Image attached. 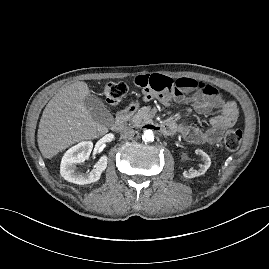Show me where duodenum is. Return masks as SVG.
I'll return each mask as SVG.
<instances>
[{
	"label": "duodenum",
	"mask_w": 269,
	"mask_h": 269,
	"mask_svg": "<svg viewBox=\"0 0 269 269\" xmlns=\"http://www.w3.org/2000/svg\"><path fill=\"white\" fill-rule=\"evenodd\" d=\"M135 110V106L128 105L123 109L119 110L115 116L114 123L112 125L113 131H118L124 127L126 121L130 114ZM159 129L164 133H170L172 131V125L169 123H165L159 127Z\"/></svg>",
	"instance_id": "duodenum-1"
}]
</instances>
